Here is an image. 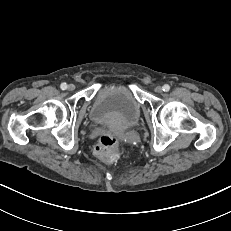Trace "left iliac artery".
<instances>
[{
	"label": "left iliac artery",
	"instance_id": "44dca946",
	"mask_svg": "<svg viewBox=\"0 0 231 231\" xmlns=\"http://www.w3.org/2000/svg\"><path fill=\"white\" fill-rule=\"evenodd\" d=\"M170 90V86L168 84H165L163 86V91L168 92Z\"/></svg>",
	"mask_w": 231,
	"mask_h": 231
}]
</instances>
